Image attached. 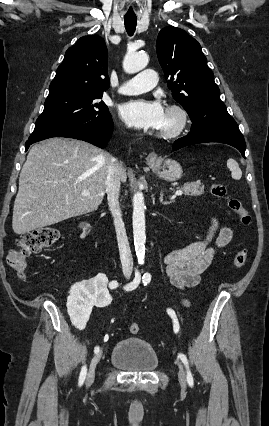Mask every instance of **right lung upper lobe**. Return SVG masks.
<instances>
[{"label": "right lung upper lobe", "instance_id": "obj_1", "mask_svg": "<svg viewBox=\"0 0 269 426\" xmlns=\"http://www.w3.org/2000/svg\"><path fill=\"white\" fill-rule=\"evenodd\" d=\"M107 60L108 51L102 37H81L66 51L49 93L60 90L104 92L110 85Z\"/></svg>", "mask_w": 269, "mask_h": 426}]
</instances>
